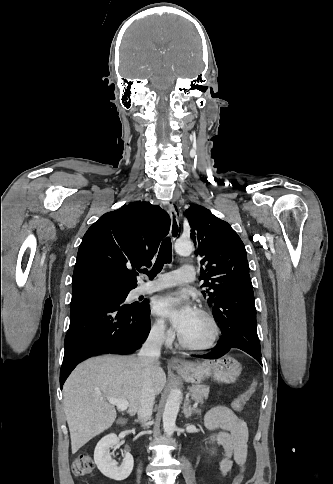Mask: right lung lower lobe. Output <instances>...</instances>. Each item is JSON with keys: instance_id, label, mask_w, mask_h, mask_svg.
Returning a JSON list of instances; mask_svg holds the SVG:
<instances>
[{"instance_id": "right-lung-lower-lobe-1", "label": "right lung lower lobe", "mask_w": 333, "mask_h": 484, "mask_svg": "<svg viewBox=\"0 0 333 484\" xmlns=\"http://www.w3.org/2000/svg\"><path fill=\"white\" fill-rule=\"evenodd\" d=\"M117 294L106 289L72 292L70 326L60 386L81 361L99 354H131L138 350L150 331V307L144 310L122 305ZM1 333V305H0Z\"/></svg>"}]
</instances>
